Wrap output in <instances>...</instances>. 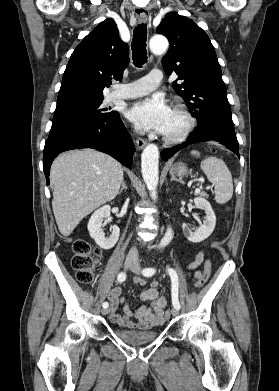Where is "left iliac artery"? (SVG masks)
Wrapping results in <instances>:
<instances>
[{"mask_svg": "<svg viewBox=\"0 0 279 391\" xmlns=\"http://www.w3.org/2000/svg\"><path fill=\"white\" fill-rule=\"evenodd\" d=\"M155 269L152 267L145 268L143 270V275L146 277H150L155 274ZM168 273L171 277V295H172V304L174 308L180 309V303L178 299V276L174 269L168 268Z\"/></svg>", "mask_w": 279, "mask_h": 391, "instance_id": "obj_1", "label": "left iliac artery"}]
</instances>
